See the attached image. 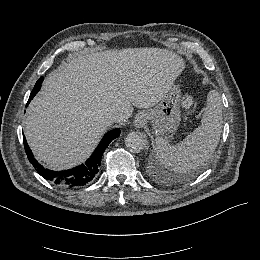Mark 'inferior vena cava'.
Segmentation results:
<instances>
[{"instance_id":"602c4592","label":"inferior vena cava","mask_w":260,"mask_h":260,"mask_svg":"<svg viewBox=\"0 0 260 260\" xmlns=\"http://www.w3.org/2000/svg\"><path fill=\"white\" fill-rule=\"evenodd\" d=\"M115 122H119V116L116 114H113L111 112H108L105 116H104V126H110Z\"/></svg>"}]
</instances>
